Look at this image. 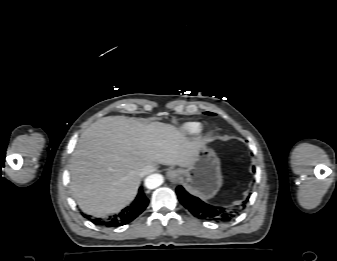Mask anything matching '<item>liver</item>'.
<instances>
[{"mask_svg":"<svg viewBox=\"0 0 337 261\" xmlns=\"http://www.w3.org/2000/svg\"><path fill=\"white\" fill-rule=\"evenodd\" d=\"M174 125L108 116L81 135L70 159V190L86 214L119 212L136 196L146 166L189 167L202 146Z\"/></svg>","mask_w":337,"mask_h":261,"instance_id":"1","label":"liver"}]
</instances>
